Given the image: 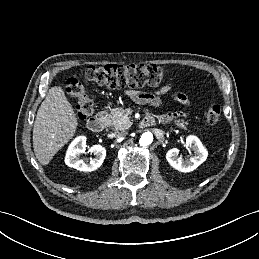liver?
Wrapping results in <instances>:
<instances>
[{
  "label": "liver",
  "instance_id": "1",
  "mask_svg": "<svg viewBox=\"0 0 259 259\" xmlns=\"http://www.w3.org/2000/svg\"><path fill=\"white\" fill-rule=\"evenodd\" d=\"M77 126L76 114L62 87H51L34 122L33 149L38 161L48 165L74 136Z\"/></svg>",
  "mask_w": 259,
  "mask_h": 259
}]
</instances>
